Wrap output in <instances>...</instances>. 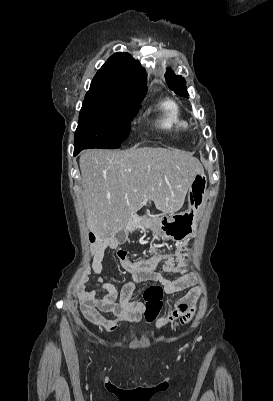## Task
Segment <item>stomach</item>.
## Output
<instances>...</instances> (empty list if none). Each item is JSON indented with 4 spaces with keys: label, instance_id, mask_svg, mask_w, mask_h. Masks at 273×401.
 Listing matches in <instances>:
<instances>
[{
    "label": "stomach",
    "instance_id": "obj_1",
    "mask_svg": "<svg viewBox=\"0 0 273 401\" xmlns=\"http://www.w3.org/2000/svg\"><path fill=\"white\" fill-rule=\"evenodd\" d=\"M207 176L196 172L187 192L188 209L184 213L162 215L151 231L161 239L187 241L195 235L201 209L206 205Z\"/></svg>",
    "mask_w": 273,
    "mask_h": 401
}]
</instances>
